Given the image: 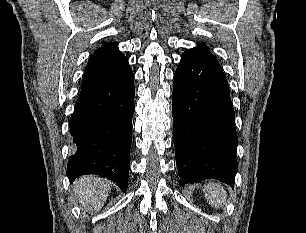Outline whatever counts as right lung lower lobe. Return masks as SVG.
Returning a JSON list of instances; mask_svg holds the SVG:
<instances>
[{
    "mask_svg": "<svg viewBox=\"0 0 306 233\" xmlns=\"http://www.w3.org/2000/svg\"><path fill=\"white\" fill-rule=\"evenodd\" d=\"M134 96L131 68L106 85L81 92L69 121L70 181L96 174L127 190Z\"/></svg>",
    "mask_w": 306,
    "mask_h": 233,
    "instance_id": "1",
    "label": "right lung lower lobe"
}]
</instances>
